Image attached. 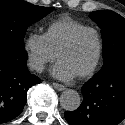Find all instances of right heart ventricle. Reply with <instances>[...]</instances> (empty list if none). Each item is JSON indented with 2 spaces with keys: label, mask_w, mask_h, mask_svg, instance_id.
Masks as SVG:
<instances>
[{
  "label": "right heart ventricle",
  "mask_w": 125,
  "mask_h": 125,
  "mask_svg": "<svg viewBox=\"0 0 125 125\" xmlns=\"http://www.w3.org/2000/svg\"><path fill=\"white\" fill-rule=\"evenodd\" d=\"M87 25L71 18L63 17L50 23L45 37L50 48L56 53L60 46L77 30Z\"/></svg>",
  "instance_id": "right-heart-ventricle-1"
}]
</instances>
